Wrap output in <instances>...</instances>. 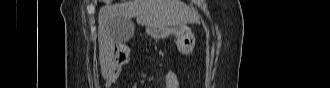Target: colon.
I'll return each instance as SVG.
<instances>
[{
	"label": "colon",
	"mask_w": 330,
	"mask_h": 88,
	"mask_svg": "<svg viewBox=\"0 0 330 88\" xmlns=\"http://www.w3.org/2000/svg\"><path fill=\"white\" fill-rule=\"evenodd\" d=\"M121 47H126V46H121ZM128 56H129L128 54L120 53V47L116 50L115 55H114L112 75L110 76L109 80L107 81L108 87H110L116 80L121 68L125 65L126 61L128 60Z\"/></svg>",
	"instance_id": "colon-1"
}]
</instances>
